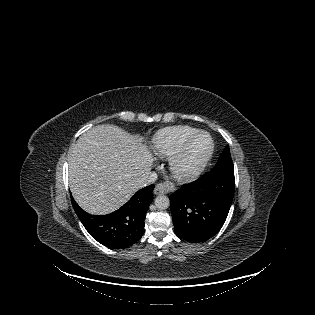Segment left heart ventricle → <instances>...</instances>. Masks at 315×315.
<instances>
[{
	"mask_svg": "<svg viewBox=\"0 0 315 315\" xmlns=\"http://www.w3.org/2000/svg\"><path fill=\"white\" fill-rule=\"evenodd\" d=\"M208 145L209 141L206 136L197 137L190 147L185 163L191 165L197 162L206 152Z\"/></svg>",
	"mask_w": 315,
	"mask_h": 315,
	"instance_id": "obj_1",
	"label": "left heart ventricle"
}]
</instances>
